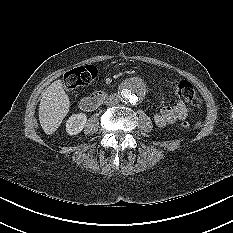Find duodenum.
<instances>
[{"instance_id":"1","label":"duodenum","mask_w":233,"mask_h":233,"mask_svg":"<svg viewBox=\"0 0 233 233\" xmlns=\"http://www.w3.org/2000/svg\"><path fill=\"white\" fill-rule=\"evenodd\" d=\"M107 98V94L103 91H97L89 96H86L80 101V108L84 111H92L98 108L104 100Z\"/></svg>"}]
</instances>
